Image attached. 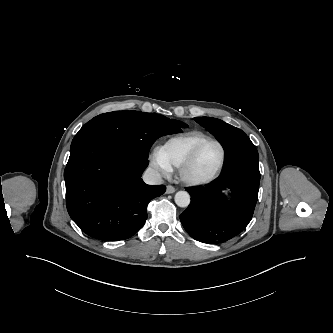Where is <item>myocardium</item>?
<instances>
[{
  "label": "myocardium",
  "mask_w": 333,
  "mask_h": 333,
  "mask_svg": "<svg viewBox=\"0 0 333 333\" xmlns=\"http://www.w3.org/2000/svg\"><path fill=\"white\" fill-rule=\"evenodd\" d=\"M209 143H214L220 148L221 155H220L219 162L216 165V167L213 169V171L210 174H208L207 176L201 177V178L193 177L190 174L191 167L193 166L200 150ZM225 158H226V150H225L223 144L219 140L209 137V138L199 142L194 147V149L191 151V153L188 155V157L183 162V164L179 167L180 178L188 186L206 185V184L210 183L212 180H214L215 177L219 174V172L221 171V169L224 165Z\"/></svg>",
  "instance_id": "f54148a6"
}]
</instances>
